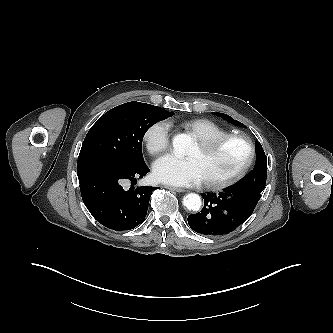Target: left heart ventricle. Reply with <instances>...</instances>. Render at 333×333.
Wrapping results in <instances>:
<instances>
[{"label": "left heart ventricle", "instance_id": "1", "mask_svg": "<svg viewBox=\"0 0 333 333\" xmlns=\"http://www.w3.org/2000/svg\"><path fill=\"white\" fill-rule=\"evenodd\" d=\"M187 155L197 161L204 180H219L241 166L245 159V149L236 141L228 142L209 152L202 151L195 144Z\"/></svg>", "mask_w": 333, "mask_h": 333}]
</instances>
